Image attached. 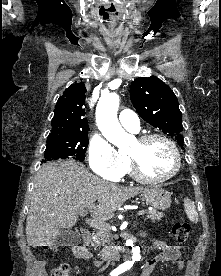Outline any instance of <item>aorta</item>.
<instances>
[{"label": "aorta", "mask_w": 221, "mask_h": 276, "mask_svg": "<svg viewBox=\"0 0 221 276\" xmlns=\"http://www.w3.org/2000/svg\"><path fill=\"white\" fill-rule=\"evenodd\" d=\"M120 99L115 93L101 96L96 108V122L103 136L112 144L123 147L128 139V134L121 127L118 118L117 111L119 107ZM128 244H132L128 241ZM132 261L140 260V249L138 247L132 249Z\"/></svg>", "instance_id": "aorta-1"}]
</instances>
